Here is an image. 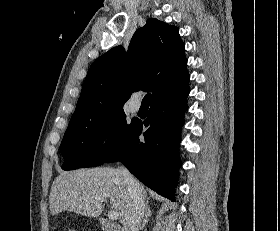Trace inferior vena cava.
<instances>
[{
    "label": "inferior vena cava",
    "instance_id": "inferior-vena-cava-1",
    "mask_svg": "<svg viewBox=\"0 0 280 231\" xmlns=\"http://www.w3.org/2000/svg\"><path fill=\"white\" fill-rule=\"evenodd\" d=\"M121 173L124 175L130 195V211L123 223L122 231H139L145 213L142 189L138 179H135L126 167H122Z\"/></svg>",
    "mask_w": 280,
    "mask_h": 231
}]
</instances>
